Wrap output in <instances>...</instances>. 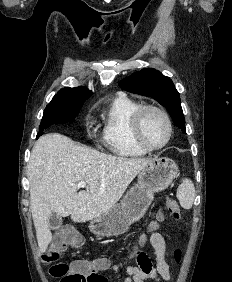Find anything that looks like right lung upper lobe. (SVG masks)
<instances>
[{"label":"right lung upper lobe","instance_id":"right-lung-upper-lobe-1","mask_svg":"<svg viewBox=\"0 0 232 282\" xmlns=\"http://www.w3.org/2000/svg\"><path fill=\"white\" fill-rule=\"evenodd\" d=\"M91 95L92 92L84 87L64 88L59 90L52 100L57 101V100L83 99V98H89Z\"/></svg>","mask_w":232,"mask_h":282}]
</instances>
